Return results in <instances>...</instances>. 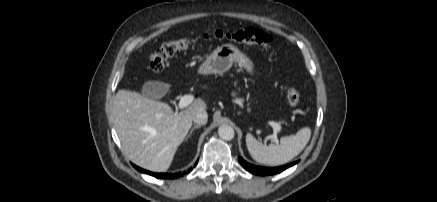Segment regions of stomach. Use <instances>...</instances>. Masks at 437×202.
Wrapping results in <instances>:
<instances>
[{
    "label": "stomach",
    "instance_id": "0dacf381",
    "mask_svg": "<svg viewBox=\"0 0 437 202\" xmlns=\"http://www.w3.org/2000/svg\"><path fill=\"white\" fill-rule=\"evenodd\" d=\"M234 62H237L249 74H253L252 61L231 43L218 46L199 67V73L204 75L223 74L231 68Z\"/></svg>",
    "mask_w": 437,
    "mask_h": 202
}]
</instances>
